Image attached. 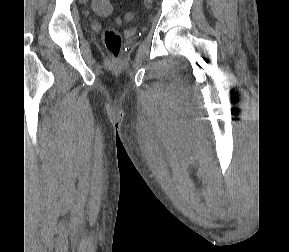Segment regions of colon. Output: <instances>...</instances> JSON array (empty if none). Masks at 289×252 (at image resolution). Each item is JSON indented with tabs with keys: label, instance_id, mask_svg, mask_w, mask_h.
<instances>
[{
	"label": "colon",
	"instance_id": "obj_1",
	"mask_svg": "<svg viewBox=\"0 0 289 252\" xmlns=\"http://www.w3.org/2000/svg\"><path fill=\"white\" fill-rule=\"evenodd\" d=\"M94 9L100 15H108L113 10V4L110 0H95ZM134 14L132 12L127 14L128 19H132ZM103 42L110 55V57L117 61L120 58L122 50V37L120 33L112 28L107 27L103 31Z\"/></svg>",
	"mask_w": 289,
	"mask_h": 252
}]
</instances>
